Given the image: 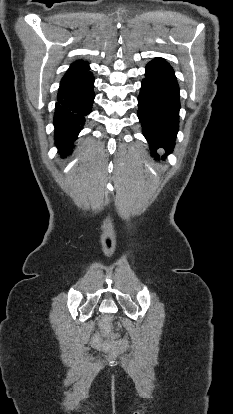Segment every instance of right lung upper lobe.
<instances>
[{
    "label": "right lung upper lobe",
    "mask_w": 233,
    "mask_h": 414,
    "mask_svg": "<svg viewBox=\"0 0 233 414\" xmlns=\"http://www.w3.org/2000/svg\"><path fill=\"white\" fill-rule=\"evenodd\" d=\"M87 67H88V63H87V62H84V61H82V60H80V61H76V62H74V63L70 66L69 70H81V69H85V68H87Z\"/></svg>",
    "instance_id": "1"
}]
</instances>
